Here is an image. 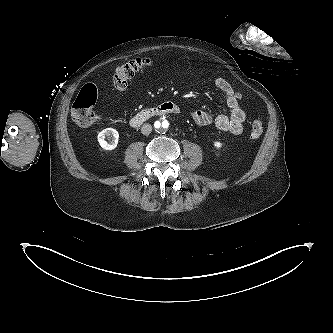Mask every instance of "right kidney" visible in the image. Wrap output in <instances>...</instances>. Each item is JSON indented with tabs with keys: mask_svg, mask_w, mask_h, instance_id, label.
<instances>
[{
	"mask_svg": "<svg viewBox=\"0 0 333 333\" xmlns=\"http://www.w3.org/2000/svg\"><path fill=\"white\" fill-rule=\"evenodd\" d=\"M98 142L100 146L105 150H113L117 147L118 139H119V133L116 129L113 128H106L99 132L98 136ZM106 138L109 140L107 142Z\"/></svg>",
	"mask_w": 333,
	"mask_h": 333,
	"instance_id": "ca27d5eb",
	"label": "right kidney"
}]
</instances>
